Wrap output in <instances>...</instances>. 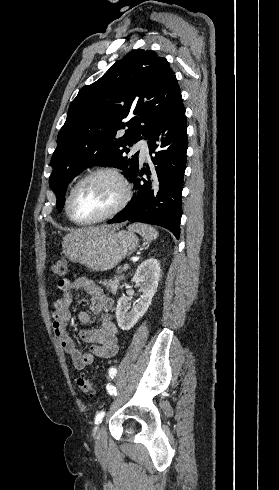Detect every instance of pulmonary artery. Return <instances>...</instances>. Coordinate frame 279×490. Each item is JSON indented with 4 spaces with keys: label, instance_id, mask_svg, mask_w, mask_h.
I'll return each mask as SVG.
<instances>
[{
    "label": "pulmonary artery",
    "instance_id": "obj_1",
    "mask_svg": "<svg viewBox=\"0 0 279 490\" xmlns=\"http://www.w3.org/2000/svg\"><path fill=\"white\" fill-rule=\"evenodd\" d=\"M134 149H139L141 150L142 154L144 156H147L148 155V147H147V144L144 143V142H138L135 144L134 146Z\"/></svg>",
    "mask_w": 279,
    "mask_h": 490
}]
</instances>
